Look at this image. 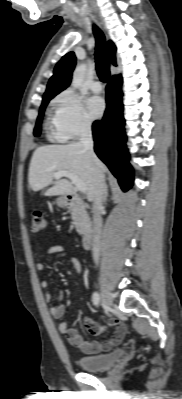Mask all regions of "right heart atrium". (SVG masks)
Instances as JSON below:
<instances>
[{
  "instance_id": "d8ad5b80",
  "label": "right heart atrium",
  "mask_w": 182,
  "mask_h": 399,
  "mask_svg": "<svg viewBox=\"0 0 182 399\" xmlns=\"http://www.w3.org/2000/svg\"><path fill=\"white\" fill-rule=\"evenodd\" d=\"M55 128L62 140L75 139L92 127L82 101L72 91H64L54 100Z\"/></svg>"
}]
</instances>
